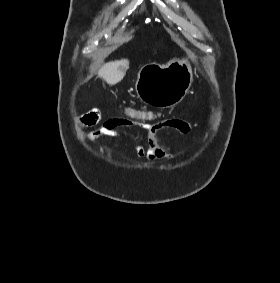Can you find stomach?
Returning <instances> with one entry per match:
<instances>
[{"label":"stomach","instance_id":"0dacf381","mask_svg":"<svg viewBox=\"0 0 280 283\" xmlns=\"http://www.w3.org/2000/svg\"><path fill=\"white\" fill-rule=\"evenodd\" d=\"M192 81L193 71L188 58H174L166 65H144L138 73L135 88L144 103L167 108L183 100Z\"/></svg>","mask_w":280,"mask_h":283}]
</instances>
